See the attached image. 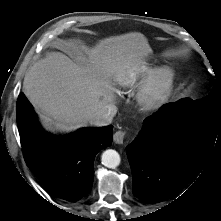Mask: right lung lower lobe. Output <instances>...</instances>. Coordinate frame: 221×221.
Returning a JSON list of instances; mask_svg holds the SVG:
<instances>
[{
	"label": "right lung lower lobe",
	"instance_id": "98d812e1",
	"mask_svg": "<svg viewBox=\"0 0 221 221\" xmlns=\"http://www.w3.org/2000/svg\"><path fill=\"white\" fill-rule=\"evenodd\" d=\"M16 118L26 164L44 187L70 202L86 196L92 188L94 157L111 145L113 126L53 136L41 128L23 93L18 96Z\"/></svg>",
	"mask_w": 221,
	"mask_h": 221
}]
</instances>
